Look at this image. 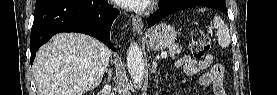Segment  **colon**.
I'll use <instances>...</instances> for the list:
<instances>
[{"label": "colon", "mask_w": 277, "mask_h": 95, "mask_svg": "<svg viewBox=\"0 0 277 95\" xmlns=\"http://www.w3.org/2000/svg\"><path fill=\"white\" fill-rule=\"evenodd\" d=\"M210 38L202 30L192 32L189 42V50L196 59L203 58L210 49Z\"/></svg>", "instance_id": "5ec220e1"}]
</instances>
